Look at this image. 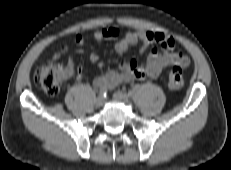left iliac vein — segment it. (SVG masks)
<instances>
[{"instance_id": "obj_1", "label": "left iliac vein", "mask_w": 231, "mask_h": 170, "mask_svg": "<svg viewBox=\"0 0 231 170\" xmlns=\"http://www.w3.org/2000/svg\"><path fill=\"white\" fill-rule=\"evenodd\" d=\"M113 98L118 101V102H123V103H128L130 98L127 94L121 92V91H116L113 94Z\"/></svg>"}]
</instances>
